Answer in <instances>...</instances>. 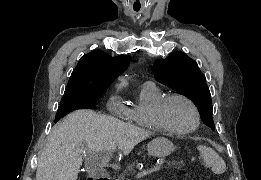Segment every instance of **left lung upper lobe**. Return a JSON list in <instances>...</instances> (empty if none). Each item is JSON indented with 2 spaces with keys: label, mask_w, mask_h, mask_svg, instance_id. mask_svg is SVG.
<instances>
[{
  "label": "left lung upper lobe",
  "mask_w": 261,
  "mask_h": 180,
  "mask_svg": "<svg viewBox=\"0 0 261 180\" xmlns=\"http://www.w3.org/2000/svg\"><path fill=\"white\" fill-rule=\"evenodd\" d=\"M154 76L158 82L192 100L203 122L214 130L210 91L205 76L193 59L174 51L167 58L155 61Z\"/></svg>",
  "instance_id": "left-lung-upper-lobe-1"
}]
</instances>
